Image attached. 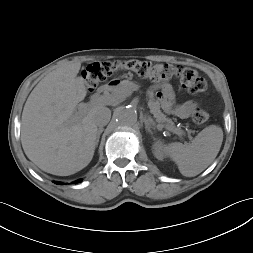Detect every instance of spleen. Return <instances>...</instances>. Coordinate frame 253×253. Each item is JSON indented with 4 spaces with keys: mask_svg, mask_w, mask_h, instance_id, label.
Masks as SVG:
<instances>
[{
    "mask_svg": "<svg viewBox=\"0 0 253 253\" xmlns=\"http://www.w3.org/2000/svg\"><path fill=\"white\" fill-rule=\"evenodd\" d=\"M222 141V129L210 125L198 133L190 144L174 142L165 147V152L177 164L182 175L194 177L214 161Z\"/></svg>",
    "mask_w": 253,
    "mask_h": 253,
    "instance_id": "3e777b00",
    "label": "spleen"
}]
</instances>
